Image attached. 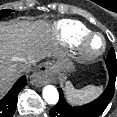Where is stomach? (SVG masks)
<instances>
[{"mask_svg": "<svg viewBox=\"0 0 117 117\" xmlns=\"http://www.w3.org/2000/svg\"><path fill=\"white\" fill-rule=\"evenodd\" d=\"M53 68L57 72H67L73 70L74 65L70 59L63 57L53 64Z\"/></svg>", "mask_w": 117, "mask_h": 117, "instance_id": "obj_1", "label": "stomach"}]
</instances>
